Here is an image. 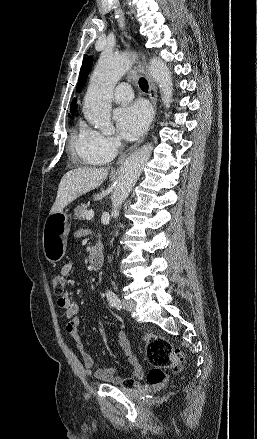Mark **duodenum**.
<instances>
[{"mask_svg":"<svg viewBox=\"0 0 257 439\" xmlns=\"http://www.w3.org/2000/svg\"><path fill=\"white\" fill-rule=\"evenodd\" d=\"M104 263V250L103 245L97 243L90 254V264L93 270H99Z\"/></svg>","mask_w":257,"mask_h":439,"instance_id":"duodenum-1","label":"duodenum"}]
</instances>
